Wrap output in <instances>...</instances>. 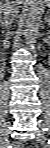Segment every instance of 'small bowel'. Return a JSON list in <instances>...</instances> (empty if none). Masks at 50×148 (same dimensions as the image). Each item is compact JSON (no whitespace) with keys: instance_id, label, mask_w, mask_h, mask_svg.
Instances as JSON below:
<instances>
[{"instance_id":"c3829d8e","label":"small bowel","mask_w":50,"mask_h":148,"mask_svg":"<svg viewBox=\"0 0 50 148\" xmlns=\"http://www.w3.org/2000/svg\"><path fill=\"white\" fill-rule=\"evenodd\" d=\"M14 147H16V148H20L21 145H20L19 143H16Z\"/></svg>"}]
</instances>
